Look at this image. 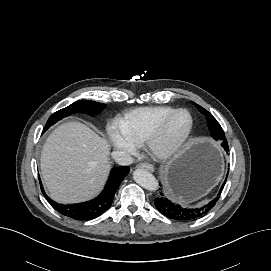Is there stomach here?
Segmentation results:
<instances>
[{
	"label": "stomach",
	"mask_w": 271,
	"mask_h": 271,
	"mask_svg": "<svg viewBox=\"0 0 271 271\" xmlns=\"http://www.w3.org/2000/svg\"><path fill=\"white\" fill-rule=\"evenodd\" d=\"M222 167V154L216 146L207 140H194L166 165L163 181L172 197L193 200L219 181Z\"/></svg>",
	"instance_id": "1"
}]
</instances>
